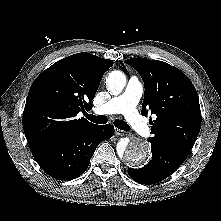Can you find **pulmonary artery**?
<instances>
[{"label": "pulmonary artery", "instance_id": "1", "mask_svg": "<svg viewBox=\"0 0 221 221\" xmlns=\"http://www.w3.org/2000/svg\"><path fill=\"white\" fill-rule=\"evenodd\" d=\"M143 84L137 77H131L125 90L95 109L98 115L121 113L128 124L141 136L151 134L148 123L138 114L136 106L143 94Z\"/></svg>", "mask_w": 221, "mask_h": 221}]
</instances>
